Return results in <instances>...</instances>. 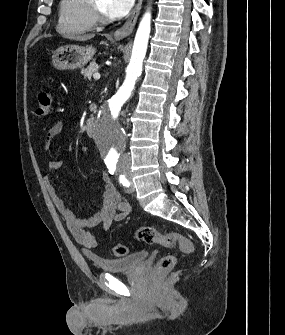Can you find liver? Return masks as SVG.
Listing matches in <instances>:
<instances>
[{
	"label": "liver",
	"mask_w": 285,
	"mask_h": 335,
	"mask_svg": "<svg viewBox=\"0 0 285 335\" xmlns=\"http://www.w3.org/2000/svg\"><path fill=\"white\" fill-rule=\"evenodd\" d=\"M69 40H76V42H86L94 38V34H85V36H68Z\"/></svg>",
	"instance_id": "obj_1"
}]
</instances>
